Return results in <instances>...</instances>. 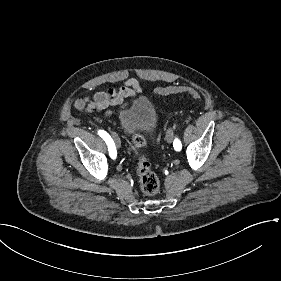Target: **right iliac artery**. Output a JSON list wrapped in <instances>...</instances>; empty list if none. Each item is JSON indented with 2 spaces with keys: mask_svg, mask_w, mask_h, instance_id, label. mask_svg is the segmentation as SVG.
I'll return each mask as SVG.
<instances>
[{
  "mask_svg": "<svg viewBox=\"0 0 281 281\" xmlns=\"http://www.w3.org/2000/svg\"><path fill=\"white\" fill-rule=\"evenodd\" d=\"M98 134L104 139V141L107 143L108 145V150H109V155L112 159L116 158V148H115V144L112 140V138L110 137V135L105 132L104 130H99Z\"/></svg>",
  "mask_w": 281,
  "mask_h": 281,
  "instance_id": "right-iliac-artery-1",
  "label": "right iliac artery"
}]
</instances>
